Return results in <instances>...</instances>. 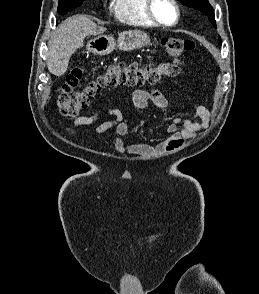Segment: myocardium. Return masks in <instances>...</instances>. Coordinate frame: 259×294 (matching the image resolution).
Listing matches in <instances>:
<instances>
[{"instance_id":"f54148a6","label":"myocardium","mask_w":259,"mask_h":294,"mask_svg":"<svg viewBox=\"0 0 259 294\" xmlns=\"http://www.w3.org/2000/svg\"><path fill=\"white\" fill-rule=\"evenodd\" d=\"M156 0H145V13L147 15V17L151 20V22L153 24H155L156 26H160V27H165V28H169V27H173L175 25L178 24L179 20H180V16H181V12H180V7L177 3L176 0H168L176 13V17L173 23H164L162 21H160L157 16L154 13V3Z\"/></svg>"}]
</instances>
